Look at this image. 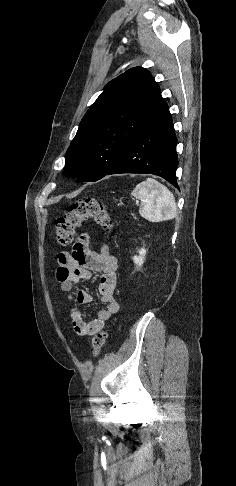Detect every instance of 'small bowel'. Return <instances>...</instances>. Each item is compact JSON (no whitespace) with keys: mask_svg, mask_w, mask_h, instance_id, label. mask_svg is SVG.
<instances>
[{"mask_svg":"<svg viewBox=\"0 0 236 486\" xmlns=\"http://www.w3.org/2000/svg\"><path fill=\"white\" fill-rule=\"evenodd\" d=\"M93 272L100 273L98 298L105 308L97 312L96 318L87 322L83 319L78 305L89 304L94 300L85 290L74 291V286L90 279ZM117 260L110 254L108 246L103 245L99 252L89 248L87 235H82L74 244L71 252L58 255L56 279L61 289L67 293L70 303L69 316L75 333L79 336H92L101 331L106 321L119 311V303L114 297L117 283Z\"/></svg>","mask_w":236,"mask_h":486,"instance_id":"c3829d8e","label":"small bowel"}]
</instances>
